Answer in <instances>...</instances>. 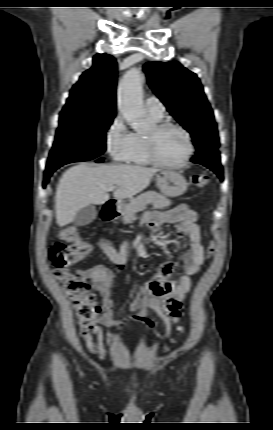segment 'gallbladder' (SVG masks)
Returning <instances> with one entry per match:
<instances>
[{"label": "gallbladder", "instance_id": "gallbladder-1", "mask_svg": "<svg viewBox=\"0 0 273 430\" xmlns=\"http://www.w3.org/2000/svg\"><path fill=\"white\" fill-rule=\"evenodd\" d=\"M97 216L94 205H88L79 210L74 218V223L77 226H85L91 223Z\"/></svg>", "mask_w": 273, "mask_h": 430}]
</instances>
